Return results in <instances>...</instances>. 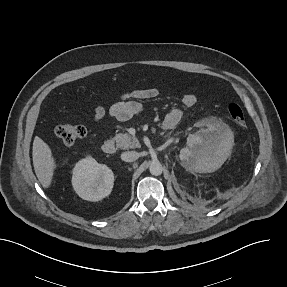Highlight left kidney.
I'll use <instances>...</instances> for the list:
<instances>
[{
	"label": "left kidney",
	"instance_id": "obj_1",
	"mask_svg": "<svg viewBox=\"0 0 287 287\" xmlns=\"http://www.w3.org/2000/svg\"><path fill=\"white\" fill-rule=\"evenodd\" d=\"M234 144L232 132L222 124L208 123L206 128L187 139V147L180 151L185 168L198 173L219 169L231 153Z\"/></svg>",
	"mask_w": 287,
	"mask_h": 287
}]
</instances>
